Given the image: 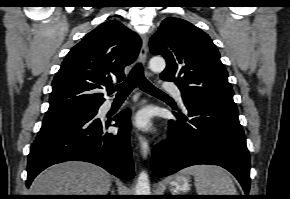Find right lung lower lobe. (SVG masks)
<instances>
[{
  "mask_svg": "<svg viewBox=\"0 0 290 199\" xmlns=\"http://www.w3.org/2000/svg\"><path fill=\"white\" fill-rule=\"evenodd\" d=\"M129 115L122 111L113 118V126H119L115 134L105 131L111 119L103 121L96 114L44 120L28 156L27 187L45 168L70 160L91 162L121 179H132Z\"/></svg>",
  "mask_w": 290,
  "mask_h": 199,
  "instance_id": "1",
  "label": "right lung lower lobe"
}]
</instances>
